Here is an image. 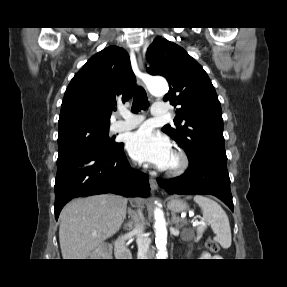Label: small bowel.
Here are the masks:
<instances>
[{
  "label": "small bowel",
  "instance_id": "obj_1",
  "mask_svg": "<svg viewBox=\"0 0 287 287\" xmlns=\"http://www.w3.org/2000/svg\"><path fill=\"white\" fill-rule=\"evenodd\" d=\"M209 256H210V255H209L207 252H203V253L201 254V257L204 258V259L209 258Z\"/></svg>",
  "mask_w": 287,
  "mask_h": 287
}]
</instances>
